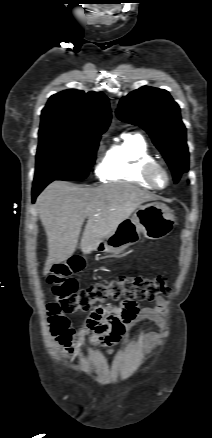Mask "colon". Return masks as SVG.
<instances>
[{
    "label": "colon",
    "instance_id": "obj_1",
    "mask_svg": "<svg viewBox=\"0 0 212 438\" xmlns=\"http://www.w3.org/2000/svg\"><path fill=\"white\" fill-rule=\"evenodd\" d=\"M84 267L81 256H72L66 261L53 266L48 282L53 287L57 301L48 305V322L54 334H64L69 329V321L65 314L77 311H88L94 304H107L109 301L124 298L125 300L152 301L168 295L170 288L162 276L145 278L126 276L109 282H99L79 290L72 277Z\"/></svg>",
    "mask_w": 212,
    "mask_h": 438
}]
</instances>
